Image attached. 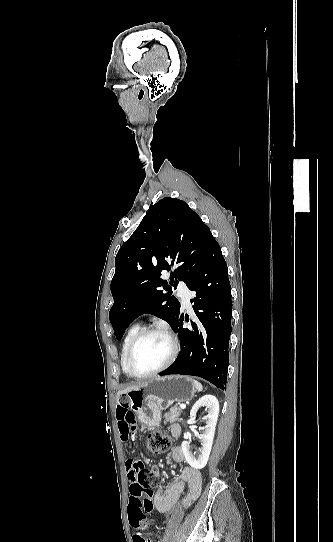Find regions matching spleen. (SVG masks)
<instances>
[{
	"mask_svg": "<svg viewBox=\"0 0 333 542\" xmlns=\"http://www.w3.org/2000/svg\"><path fill=\"white\" fill-rule=\"evenodd\" d=\"M194 388H196L197 392H202L203 386L200 384V382H197V380H192Z\"/></svg>",
	"mask_w": 333,
	"mask_h": 542,
	"instance_id": "3e777b00",
	"label": "spleen"
}]
</instances>
